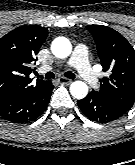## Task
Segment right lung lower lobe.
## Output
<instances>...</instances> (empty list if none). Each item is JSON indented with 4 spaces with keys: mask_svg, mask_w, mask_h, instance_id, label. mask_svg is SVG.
<instances>
[{
    "mask_svg": "<svg viewBox=\"0 0 135 165\" xmlns=\"http://www.w3.org/2000/svg\"><path fill=\"white\" fill-rule=\"evenodd\" d=\"M53 85L33 89H15L0 94V116L13 123H27L38 118L48 106Z\"/></svg>",
    "mask_w": 135,
    "mask_h": 165,
    "instance_id": "98d812e1",
    "label": "right lung lower lobe"
}]
</instances>
